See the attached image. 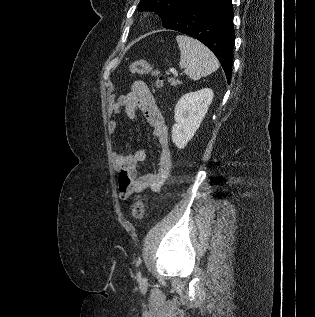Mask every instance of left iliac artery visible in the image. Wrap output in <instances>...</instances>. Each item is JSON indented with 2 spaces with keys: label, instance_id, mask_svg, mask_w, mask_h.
Masks as SVG:
<instances>
[{
  "label": "left iliac artery",
  "instance_id": "44dca946",
  "mask_svg": "<svg viewBox=\"0 0 315 317\" xmlns=\"http://www.w3.org/2000/svg\"><path fill=\"white\" fill-rule=\"evenodd\" d=\"M140 263H141V259L137 261V266H139Z\"/></svg>",
  "mask_w": 315,
  "mask_h": 317
}]
</instances>
